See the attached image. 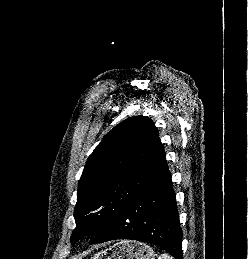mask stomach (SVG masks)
Wrapping results in <instances>:
<instances>
[{
  "label": "stomach",
  "instance_id": "1",
  "mask_svg": "<svg viewBox=\"0 0 248 259\" xmlns=\"http://www.w3.org/2000/svg\"><path fill=\"white\" fill-rule=\"evenodd\" d=\"M153 249L141 242L124 240L94 254L91 259H155Z\"/></svg>",
  "mask_w": 248,
  "mask_h": 259
}]
</instances>
